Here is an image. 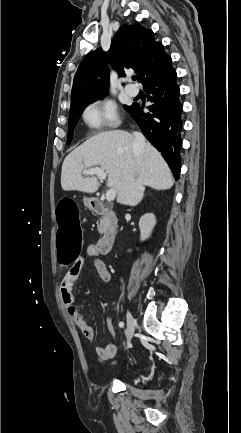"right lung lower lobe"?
Instances as JSON below:
<instances>
[{"instance_id": "98d812e1", "label": "right lung lower lobe", "mask_w": 241, "mask_h": 433, "mask_svg": "<svg viewBox=\"0 0 241 433\" xmlns=\"http://www.w3.org/2000/svg\"><path fill=\"white\" fill-rule=\"evenodd\" d=\"M177 74L171 62L159 74L143 83L151 105L149 112L133 103L128 112L137 122L145 137L156 147L168 163L176 179L180 174L179 151L182 144V103L176 82Z\"/></svg>"}]
</instances>
